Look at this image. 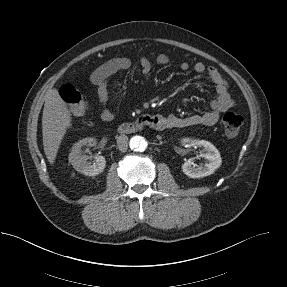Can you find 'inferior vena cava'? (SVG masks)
Returning <instances> with one entry per match:
<instances>
[{"instance_id":"602c4592","label":"inferior vena cava","mask_w":287,"mask_h":287,"mask_svg":"<svg viewBox=\"0 0 287 287\" xmlns=\"http://www.w3.org/2000/svg\"><path fill=\"white\" fill-rule=\"evenodd\" d=\"M117 146L121 152H126L128 149V137L124 134L117 137Z\"/></svg>"}]
</instances>
